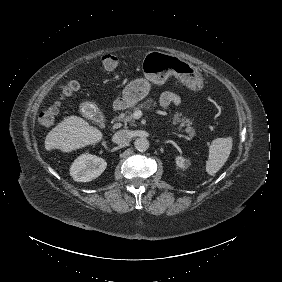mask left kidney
I'll use <instances>...</instances> for the list:
<instances>
[{"mask_svg": "<svg viewBox=\"0 0 282 282\" xmlns=\"http://www.w3.org/2000/svg\"><path fill=\"white\" fill-rule=\"evenodd\" d=\"M175 165L180 168L183 172H186L191 166V160L184 157L183 155L175 156Z\"/></svg>", "mask_w": 282, "mask_h": 282, "instance_id": "left-kidney-1", "label": "left kidney"}]
</instances>
